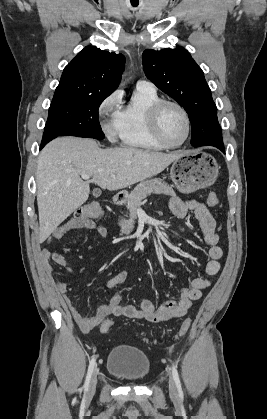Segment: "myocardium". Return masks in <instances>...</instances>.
<instances>
[{
  "instance_id": "1",
  "label": "myocardium",
  "mask_w": 267,
  "mask_h": 419,
  "mask_svg": "<svg viewBox=\"0 0 267 419\" xmlns=\"http://www.w3.org/2000/svg\"><path fill=\"white\" fill-rule=\"evenodd\" d=\"M168 105L174 106L181 112V114L184 117L185 124H186L185 136L183 140L177 144H172V143L167 142L165 138L163 137L160 130V115L163 108ZM148 125L154 139L164 148L181 147L183 144L186 143L191 132V120H190L187 110L180 103L173 100H167V99H160L159 101H157L155 104L151 106L148 112Z\"/></svg>"
}]
</instances>
